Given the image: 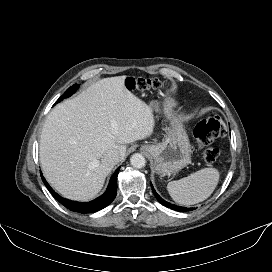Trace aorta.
<instances>
[{
  "instance_id": "obj_1",
  "label": "aorta",
  "mask_w": 272,
  "mask_h": 272,
  "mask_svg": "<svg viewBox=\"0 0 272 272\" xmlns=\"http://www.w3.org/2000/svg\"><path fill=\"white\" fill-rule=\"evenodd\" d=\"M130 163L133 167L140 169L145 166L146 160L142 154L135 153L131 156Z\"/></svg>"
}]
</instances>
